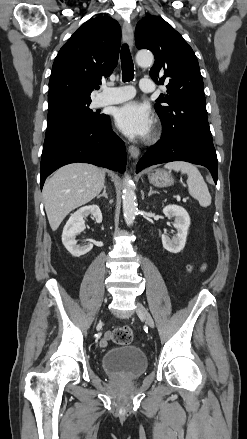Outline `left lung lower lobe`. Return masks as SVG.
<instances>
[{
  "instance_id": "obj_1",
  "label": "left lung lower lobe",
  "mask_w": 247,
  "mask_h": 439,
  "mask_svg": "<svg viewBox=\"0 0 247 439\" xmlns=\"http://www.w3.org/2000/svg\"><path fill=\"white\" fill-rule=\"evenodd\" d=\"M186 161L207 167L217 183V155L213 142L180 132L163 131L162 139L144 154L137 164L136 172L151 165Z\"/></svg>"
}]
</instances>
